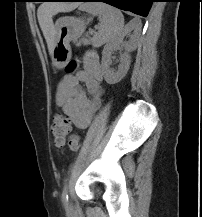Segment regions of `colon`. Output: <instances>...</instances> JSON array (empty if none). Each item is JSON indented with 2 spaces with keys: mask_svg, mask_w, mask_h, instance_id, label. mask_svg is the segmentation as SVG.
<instances>
[{
  "mask_svg": "<svg viewBox=\"0 0 202 217\" xmlns=\"http://www.w3.org/2000/svg\"><path fill=\"white\" fill-rule=\"evenodd\" d=\"M77 61H71L67 67V73L71 74L77 69ZM51 132L56 146L62 147L66 141L72 151H78L81 147L79 135L70 134V118L65 114H57L51 125Z\"/></svg>",
  "mask_w": 202,
  "mask_h": 217,
  "instance_id": "colon-1",
  "label": "colon"
}]
</instances>
